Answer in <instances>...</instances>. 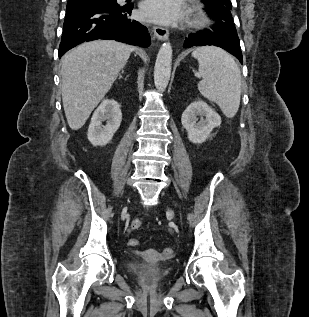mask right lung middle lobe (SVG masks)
<instances>
[{"label":"right lung middle lobe","instance_id":"right-lung-middle-lobe-1","mask_svg":"<svg viewBox=\"0 0 309 317\" xmlns=\"http://www.w3.org/2000/svg\"><path fill=\"white\" fill-rule=\"evenodd\" d=\"M85 1L118 6L117 0H85Z\"/></svg>","mask_w":309,"mask_h":317}]
</instances>
